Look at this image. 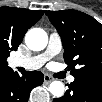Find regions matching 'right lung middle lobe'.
<instances>
[{
  "instance_id": "1",
  "label": "right lung middle lobe",
  "mask_w": 102,
  "mask_h": 102,
  "mask_svg": "<svg viewBox=\"0 0 102 102\" xmlns=\"http://www.w3.org/2000/svg\"><path fill=\"white\" fill-rule=\"evenodd\" d=\"M1 68H2V70L4 69V61H3V59H2V63H1Z\"/></svg>"
}]
</instances>
